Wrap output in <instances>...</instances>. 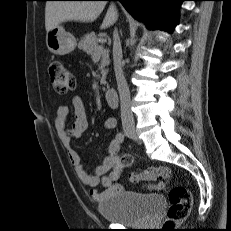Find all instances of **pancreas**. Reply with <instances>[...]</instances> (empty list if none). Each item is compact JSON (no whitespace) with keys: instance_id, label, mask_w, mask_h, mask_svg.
I'll use <instances>...</instances> for the list:
<instances>
[{"instance_id":"obj_1","label":"pancreas","mask_w":231,"mask_h":231,"mask_svg":"<svg viewBox=\"0 0 231 231\" xmlns=\"http://www.w3.org/2000/svg\"><path fill=\"white\" fill-rule=\"evenodd\" d=\"M99 47H101L98 43V37L94 32L88 33L84 35L78 43V48L85 51L88 55H95L99 51ZM101 56V63L99 65V69L101 70V84H105V78L107 74L106 66L109 65V51L102 49L99 51Z\"/></svg>"}]
</instances>
